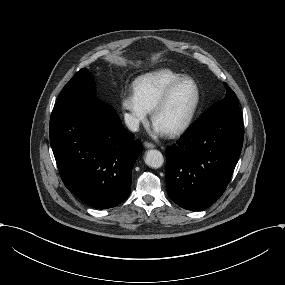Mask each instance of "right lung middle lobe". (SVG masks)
Wrapping results in <instances>:
<instances>
[{
  "label": "right lung middle lobe",
  "instance_id": "1",
  "mask_svg": "<svg viewBox=\"0 0 285 285\" xmlns=\"http://www.w3.org/2000/svg\"><path fill=\"white\" fill-rule=\"evenodd\" d=\"M94 91L93 77L86 68H83L64 86L57 103L73 99L92 98Z\"/></svg>",
  "mask_w": 285,
  "mask_h": 285
}]
</instances>
